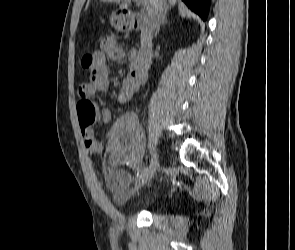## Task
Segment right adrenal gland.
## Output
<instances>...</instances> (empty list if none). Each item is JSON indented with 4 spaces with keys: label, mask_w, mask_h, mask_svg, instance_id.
<instances>
[{
    "label": "right adrenal gland",
    "mask_w": 295,
    "mask_h": 250,
    "mask_svg": "<svg viewBox=\"0 0 295 250\" xmlns=\"http://www.w3.org/2000/svg\"><path fill=\"white\" fill-rule=\"evenodd\" d=\"M167 9H168V7L166 6V7H165L164 14L162 15V17H161V19H160V21H159V24H158V26H157V32H159L161 26H165L166 23H167V19H166Z\"/></svg>",
    "instance_id": "obj_1"
}]
</instances>
